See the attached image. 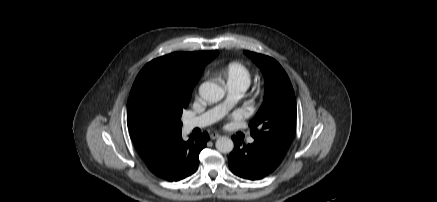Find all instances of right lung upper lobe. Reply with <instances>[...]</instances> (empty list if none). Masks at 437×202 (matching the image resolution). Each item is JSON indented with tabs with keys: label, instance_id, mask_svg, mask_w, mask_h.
Listing matches in <instances>:
<instances>
[{
	"label": "right lung upper lobe",
	"instance_id": "1",
	"mask_svg": "<svg viewBox=\"0 0 437 202\" xmlns=\"http://www.w3.org/2000/svg\"><path fill=\"white\" fill-rule=\"evenodd\" d=\"M217 54L218 51L176 52L158 59L166 60L173 65L179 93L187 96L189 88H193L202 75L205 65ZM127 123L130 137L146 163L182 134L181 128L149 129L128 121Z\"/></svg>",
	"mask_w": 437,
	"mask_h": 202
}]
</instances>
